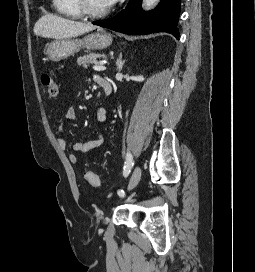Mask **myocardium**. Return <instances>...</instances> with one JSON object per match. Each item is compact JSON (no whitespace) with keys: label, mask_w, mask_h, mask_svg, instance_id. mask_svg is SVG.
Returning <instances> with one entry per match:
<instances>
[{"label":"myocardium","mask_w":255,"mask_h":272,"mask_svg":"<svg viewBox=\"0 0 255 272\" xmlns=\"http://www.w3.org/2000/svg\"><path fill=\"white\" fill-rule=\"evenodd\" d=\"M77 5L82 13V15L90 18H102L107 16L110 13V8L102 12H95L90 9L88 5V0H76Z\"/></svg>","instance_id":"1"}]
</instances>
